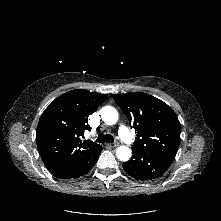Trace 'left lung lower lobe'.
<instances>
[{
    "label": "left lung lower lobe",
    "instance_id": "obj_1",
    "mask_svg": "<svg viewBox=\"0 0 221 221\" xmlns=\"http://www.w3.org/2000/svg\"><path fill=\"white\" fill-rule=\"evenodd\" d=\"M132 158L124 162L123 169L137 180H151L161 176L172 164L173 159L132 149Z\"/></svg>",
    "mask_w": 221,
    "mask_h": 221
}]
</instances>
